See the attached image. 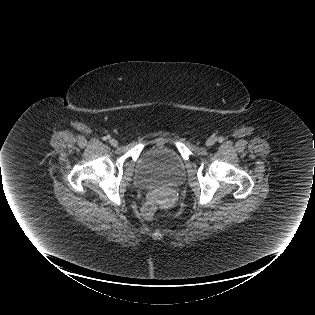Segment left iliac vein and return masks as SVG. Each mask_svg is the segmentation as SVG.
<instances>
[{"label": "left iliac vein", "instance_id": "left-iliac-vein-1", "mask_svg": "<svg viewBox=\"0 0 315 315\" xmlns=\"http://www.w3.org/2000/svg\"><path fill=\"white\" fill-rule=\"evenodd\" d=\"M214 143H215V140H214V139H208V140L206 141V146H212Z\"/></svg>", "mask_w": 315, "mask_h": 315}]
</instances>
